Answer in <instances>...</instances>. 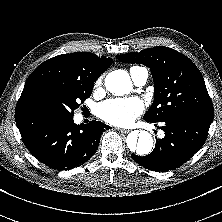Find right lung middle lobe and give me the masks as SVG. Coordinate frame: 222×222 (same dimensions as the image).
<instances>
[{
	"mask_svg": "<svg viewBox=\"0 0 222 222\" xmlns=\"http://www.w3.org/2000/svg\"><path fill=\"white\" fill-rule=\"evenodd\" d=\"M94 83L56 81L38 89L32 96L31 110L73 117L74 111L83 104L93 89Z\"/></svg>",
	"mask_w": 222,
	"mask_h": 222,
	"instance_id": "dd1d6c3e",
	"label": "right lung middle lobe"
}]
</instances>
